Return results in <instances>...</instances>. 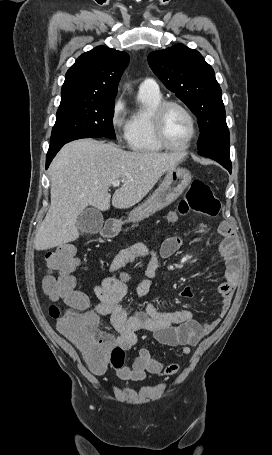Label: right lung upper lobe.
<instances>
[{"mask_svg": "<svg viewBox=\"0 0 272 455\" xmlns=\"http://www.w3.org/2000/svg\"><path fill=\"white\" fill-rule=\"evenodd\" d=\"M129 55L106 46L82 54L65 75L61 103L113 101Z\"/></svg>", "mask_w": 272, "mask_h": 455, "instance_id": "right-lung-upper-lobe-1", "label": "right lung upper lobe"}]
</instances>
